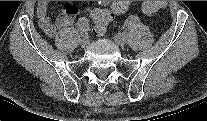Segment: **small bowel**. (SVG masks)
Returning <instances> with one entry per match:
<instances>
[{"label":"small bowel","instance_id":"c3829d8e","mask_svg":"<svg viewBox=\"0 0 207 121\" xmlns=\"http://www.w3.org/2000/svg\"><path fill=\"white\" fill-rule=\"evenodd\" d=\"M122 1H116L111 4V7H115L116 4ZM100 4L108 5L109 2L101 1ZM48 1H40L37 4V18L40 28L48 37H54L57 31L61 28L68 27L73 24L75 16L77 14V8L72 3H67L64 9V12L56 18L55 21H52L48 16ZM127 9L123 11H115V15L123 14ZM84 18V17H83ZM101 33V32H99Z\"/></svg>","mask_w":207,"mask_h":121}]
</instances>
